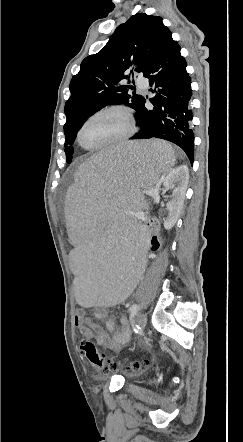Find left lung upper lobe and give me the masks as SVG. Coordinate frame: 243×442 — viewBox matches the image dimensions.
<instances>
[{
  "label": "left lung upper lobe",
  "mask_w": 243,
  "mask_h": 442,
  "mask_svg": "<svg viewBox=\"0 0 243 442\" xmlns=\"http://www.w3.org/2000/svg\"><path fill=\"white\" fill-rule=\"evenodd\" d=\"M170 33L161 17L137 13L117 27L102 50L82 61L79 73L71 79V97L65 104L68 163L77 132L92 114L111 104H124L138 112L144 97L129 95L132 86L120 82L129 72L145 74Z\"/></svg>",
  "instance_id": "5c2ea615"
}]
</instances>
